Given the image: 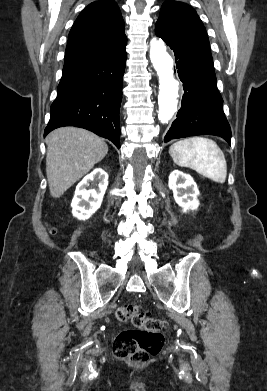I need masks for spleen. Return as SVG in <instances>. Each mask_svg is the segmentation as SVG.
<instances>
[{
    "mask_svg": "<svg viewBox=\"0 0 267 391\" xmlns=\"http://www.w3.org/2000/svg\"><path fill=\"white\" fill-rule=\"evenodd\" d=\"M174 163L191 168L210 180L223 184L227 177L225 156L211 139L192 137L180 140L169 148Z\"/></svg>",
    "mask_w": 267,
    "mask_h": 391,
    "instance_id": "1",
    "label": "spleen"
}]
</instances>
